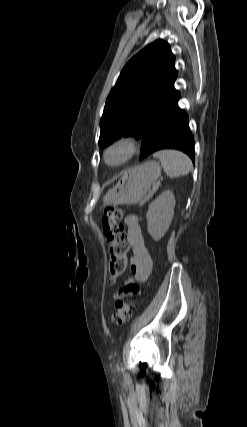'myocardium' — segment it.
<instances>
[{"label": "myocardium", "mask_w": 247, "mask_h": 427, "mask_svg": "<svg viewBox=\"0 0 247 427\" xmlns=\"http://www.w3.org/2000/svg\"><path fill=\"white\" fill-rule=\"evenodd\" d=\"M137 152L136 139L123 136L110 143L103 152V160L110 167H119L127 163Z\"/></svg>", "instance_id": "f54148a6"}]
</instances>
